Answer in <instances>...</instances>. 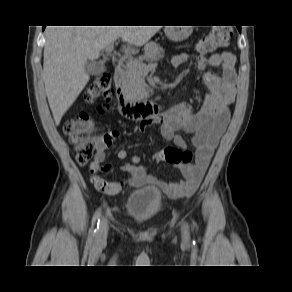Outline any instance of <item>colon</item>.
<instances>
[{
  "instance_id": "1",
  "label": "colon",
  "mask_w": 292,
  "mask_h": 292,
  "mask_svg": "<svg viewBox=\"0 0 292 292\" xmlns=\"http://www.w3.org/2000/svg\"><path fill=\"white\" fill-rule=\"evenodd\" d=\"M232 37V29L228 26L214 27L207 35H205L197 44V49L201 53H209L220 47L228 45ZM113 96V88L111 79L107 74L97 76L88 87L85 98L88 101H94L102 98L109 102ZM105 107H101L103 111ZM92 116L83 112L76 117L68 119L63 131L69 137L71 144L75 149V158L80 165L90 163L91 183L100 192L111 194L113 191V183L103 179L97 175L98 165L92 162L96 146L91 136ZM156 162H166L173 165L188 164L192 160V153L178 147L169 146L156 153L153 156Z\"/></svg>"
}]
</instances>
